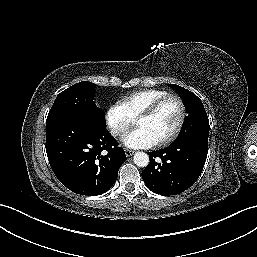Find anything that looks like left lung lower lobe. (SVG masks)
<instances>
[{
    "instance_id": "left-lung-lower-lobe-1",
    "label": "left lung lower lobe",
    "mask_w": 257,
    "mask_h": 257,
    "mask_svg": "<svg viewBox=\"0 0 257 257\" xmlns=\"http://www.w3.org/2000/svg\"><path fill=\"white\" fill-rule=\"evenodd\" d=\"M208 153V140L189 138L149 153L142 177L154 193L174 195L187 190L199 178ZM159 157L161 162L155 161Z\"/></svg>"
}]
</instances>
